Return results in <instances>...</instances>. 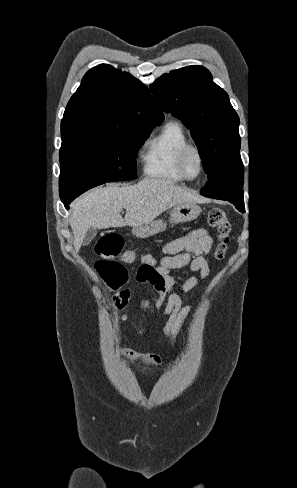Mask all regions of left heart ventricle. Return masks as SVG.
<instances>
[{
    "instance_id": "left-heart-ventricle-1",
    "label": "left heart ventricle",
    "mask_w": 297,
    "mask_h": 488,
    "mask_svg": "<svg viewBox=\"0 0 297 488\" xmlns=\"http://www.w3.org/2000/svg\"><path fill=\"white\" fill-rule=\"evenodd\" d=\"M199 159L195 153H190L186 159V169L189 175L195 176L199 171Z\"/></svg>"
}]
</instances>
